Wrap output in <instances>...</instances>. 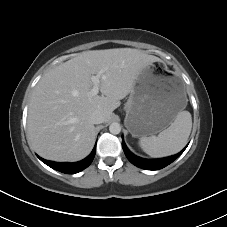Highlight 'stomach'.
Masks as SVG:
<instances>
[{
  "instance_id": "0dacf381",
  "label": "stomach",
  "mask_w": 227,
  "mask_h": 227,
  "mask_svg": "<svg viewBox=\"0 0 227 227\" xmlns=\"http://www.w3.org/2000/svg\"><path fill=\"white\" fill-rule=\"evenodd\" d=\"M165 71L161 61L150 63L134 82L125 105V126L133 136L161 132L186 107L187 97L180 79Z\"/></svg>"
}]
</instances>
